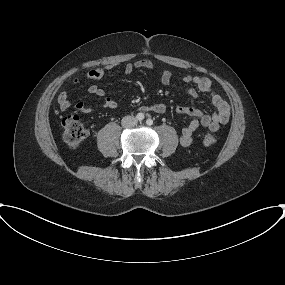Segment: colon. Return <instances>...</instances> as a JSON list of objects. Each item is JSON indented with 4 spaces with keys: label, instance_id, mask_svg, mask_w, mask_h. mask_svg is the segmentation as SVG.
Here are the masks:
<instances>
[{
    "label": "colon",
    "instance_id": "colon-1",
    "mask_svg": "<svg viewBox=\"0 0 285 285\" xmlns=\"http://www.w3.org/2000/svg\"><path fill=\"white\" fill-rule=\"evenodd\" d=\"M63 140L72 149L80 147L89 136L87 126L82 120L72 113L66 114L62 119ZM216 136L213 132L203 135V143L207 146L215 144Z\"/></svg>",
    "mask_w": 285,
    "mask_h": 285
}]
</instances>
